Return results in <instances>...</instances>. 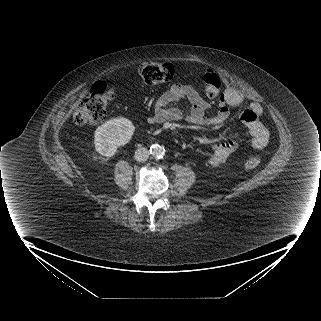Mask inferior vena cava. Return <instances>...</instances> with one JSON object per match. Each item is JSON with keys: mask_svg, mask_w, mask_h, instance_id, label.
Instances as JSON below:
<instances>
[{"mask_svg": "<svg viewBox=\"0 0 321 321\" xmlns=\"http://www.w3.org/2000/svg\"><path fill=\"white\" fill-rule=\"evenodd\" d=\"M150 153H149V150L147 148H138L136 151H135V159L139 162H145L148 157H149Z\"/></svg>", "mask_w": 321, "mask_h": 321, "instance_id": "obj_1", "label": "inferior vena cava"}]
</instances>
